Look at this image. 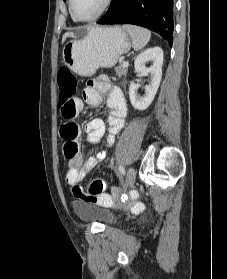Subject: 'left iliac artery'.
Instances as JSON below:
<instances>
[{"label":"left iliac artery","mask_w":227,"mask_h":279,"mask_svg":"<svg viewBox=\"0 0 227 279\" xmlns=\"http://www.w3.org/2000/svg\"><path fill=\"white\" fill-rule=\"evenodd\" d=\"M119 170H120V172H121L123 175L125 174V169H124L123 166H120V167H119Z\"/></svg>","instance_id":"left-iliac-artery-1"}]
</instances>
